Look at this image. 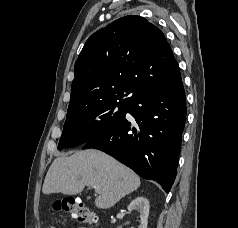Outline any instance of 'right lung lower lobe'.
<instances>
[{
	"label": "right lung lower lobe",
	"instance_id": "1",
	"mask_svg": "<svg viewBox=\"0 0 238 228\" xmlns=\"http://www.w3.org/2000/svg\"><path fill=\"white\" fill-rule=\"evenodd\" d=\"M125 115L85 143L127 165L141 177L161 184L168 193L176 177L186 121L181 77L163 87L140 93L127 102ZM125 112V114H126Z\"/></svg>",
	"mask_w": 238,
	"mask_h": 228
}]
</instances>
